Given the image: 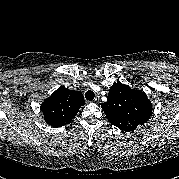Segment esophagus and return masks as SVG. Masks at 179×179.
I'll return each mask as SVG.
<instances>
[{
	"label": "esophagus",
	"instance_id": "34e87169",
	"mask_svg": "<svg viewBox=\"0 0 179 179\" xmlns=\"http://www.w3.org/2000/svg\"><path fill=\"white\" fill-rule=\"evenodd\" d=\"M100 101V96H96L93 100L94 103H99Z\"/></svg>",
	"mask_w": 179,
	"mask_h": 179
}]
</instances>
